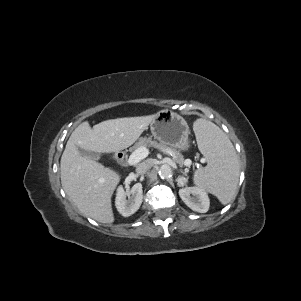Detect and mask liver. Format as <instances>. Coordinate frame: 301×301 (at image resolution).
<instances>
[{
	"mask_svg": "<svg viewBox=\"0 0 301 301\" xmlns=\"http://www.w3.org/2000/svg\"><path fill=\"white\" fill-rule=\"evenodd\" d=\"M153 118L154 115L110 119L93 128L83 122L72 132L61 157V183L85 216L101 223L114 222L111 197L120 175L82 156L78 147L99 154L121 151L140 137Z\"/></svg>",
	"mask_w": 301,
	"mask_h": 301,
	"instance_id": "6515ba94",
	"label": "liver"
}]
</instances>
